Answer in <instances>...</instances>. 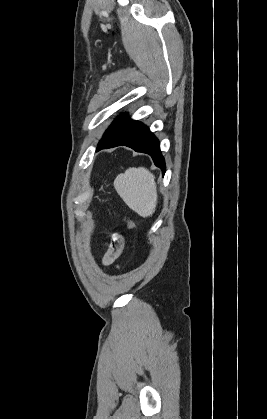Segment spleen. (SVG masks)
I'll return each instance as SVG.
<instances>
[{"instance_id": "1", "label": "spleen", "mask_w": 267, "mask_h": 419, "mask_svg": "<svg viewBox=\"0 0 267 419\" xmlns=\"http://www.w3.org/2000/svg\"><path fill=\"white\" fill-rule=\"evenodd\" d=\"M114 187L133 211L142 217L152 216L157 205V190L155 177L149 170L128 168L116 177Z\"/></svg>"}]
</instances>
